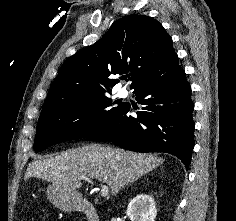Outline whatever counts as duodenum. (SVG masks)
Listing matches in <instances>:
<instances>
[{"label":"duodenum","mask_w":236,"mask_h":221,"mask_svg":"<svg viewBox=\"0 0 236 221\" xmlns=\"http://www.w3.org/2000/svg\"><path fill=\"white\" fill-rule=\"evenodd\" d=\"M78 210L86 215L88 221H100L97 209L91 201H81L78 205Z\"/></svg>","instance_id":"410a0bca"}]
</instances>
